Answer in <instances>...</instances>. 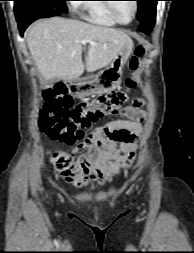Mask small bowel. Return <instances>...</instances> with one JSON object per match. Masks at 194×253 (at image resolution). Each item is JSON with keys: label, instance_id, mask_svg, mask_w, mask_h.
Masks as SVG:
<instances>
[{"label": "small bowel", "instance_id": "1", "mask_svg": "<svg viewBox=\"0 0 194 253\" xmlns=\"http://www.w3.org/2000/svg\"><path fill=\"white\" fill-rule=\"evenodd\" d=\"M136 100L132 106L122 107L118 113L123 118L94 128L88 137L71 151L78 155L69 169L61 173L62 178L74 187L91 182L103 184L128 168L135 159L137 138L142 130L146 112ZM85 150L84 153H81Z\"/></svg>", "mask_w": 194, "mask_h": 253}]
</instances>
